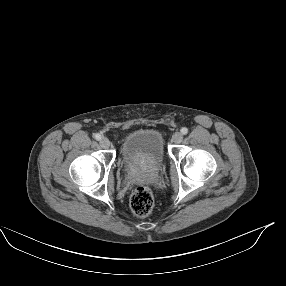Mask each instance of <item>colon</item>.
Instances as JSON below:
<instances>
[{"instance_id":"obj_1","label":"colon","mask_w":286,"mask_h":286,"mask_svg":"<svg viewBox=\"0 0 286 286\" xmlns=\"http://www.w3.org/2000/svg\"><path fill=\"white\" fill-rule=\"evenodd\" d=\"M130 205L135 215L139 217L148 215L154 205L152 191L144 186L137 187L131 196Z\"/></svg>"}]
</instances>
